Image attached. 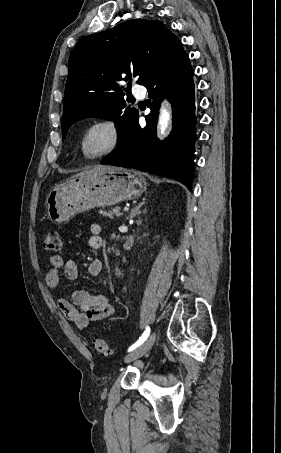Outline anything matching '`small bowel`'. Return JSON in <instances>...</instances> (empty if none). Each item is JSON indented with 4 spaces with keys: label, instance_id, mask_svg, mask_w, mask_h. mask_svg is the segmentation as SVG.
Masks as SVG:
<instances>
[{
    "label": "small bowel",
    "instance_id": "1",
    "mask_svg": "<svg viewBox=\"0 0 281 453\" xmlns=\"http://www.w3.org/2000/svg\"><path fill=\"white\" fill-rule=\"evenodd\" d=\"M91 237L87 243V250L91 252L100 251L102 240L98 237L102 227L98 223H92L89 227ZM51 269L45 274V281L49 288H60V269L64 270V276L68 280H75L79 277L77 263L73 259L64 260L60 255L53 254L48 258ZM103 271V264L95 259L88 263L87 274L98 277ZM57 305L62 313L72 321L78 328L84 329L92 321L104 319L115 313L110 298L104 294L93 295L84 289H75L69 293V299H58Z\"/></svg>",
    "mask_w": 281,
    "mask_h": 453
}]
</instances>
